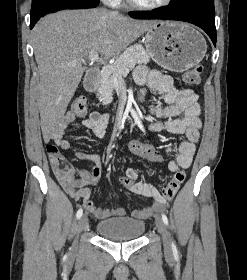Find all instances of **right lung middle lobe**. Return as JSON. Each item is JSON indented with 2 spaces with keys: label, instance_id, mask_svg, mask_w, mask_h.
Returning <instances> with one entry per match:
<instances>
[{
  "label": "right lung middle lobe",
  "instance_id": "1",
  "mask_svg": "<svg viewBox=\"0 0 247 280\" xmlns=\"http://www.w3.org/2000/svg\"><path fill=\"white\" fill-rule=\"evenodd\" d=\"M65 1V0H32L31 6V19L39 17L49 6L54 3ZM96 3H99V0H89Z\"/></svg>",
  "mask_w": 247,
  "mask_h": 280
}]
</instances>
